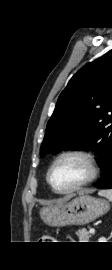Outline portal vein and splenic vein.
<instances>
[{"instance_id":"18ae733b","label":"portal vein and splenic vein","mask_w":112,"mask_h":270,"mask_svg":"<svg viewBox=\"0 0 112 270\" xmlns=\"http://www.w3.org/2000/svg\"><path fill=\"white\" fill-rule=\"evenodd\" d=\"M89 231H90V233H94L95 229L93 227H91Z\"/></svg>"}]
</instances>
